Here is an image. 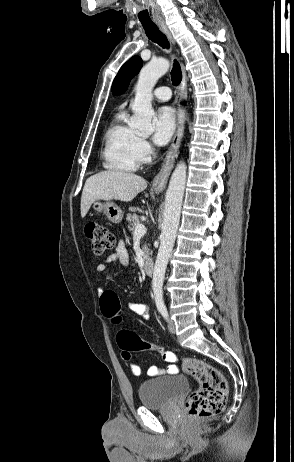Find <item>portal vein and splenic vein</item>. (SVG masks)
I'll return each mask as SVG.
<instances>
[{"label":"portal vein and splenic vein","instance_id":"1","mask_svg":"<svg viewBox=\"0 0 294 462\" xmlns=\"http://www.w3.org/2000/svg\"><path fill=\"white\" fill-rule=\"evenodd\" d=\"M146 233V228L143 224H138L135 227L134 236H142Z\"/></svg>","mask_w":294,"mask_h":462}]
</instances>
